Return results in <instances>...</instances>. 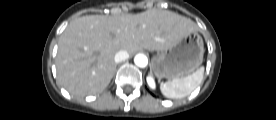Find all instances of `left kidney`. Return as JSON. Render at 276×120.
Wrapping results in <instances>:
<instances>
[{"label":"left kidney","mask_w":276,"mask_h":120,"mask_svg":"<svg viewBox=\"0 0 276 120\" xmlns=\"http://www.w3.org/2000/svg\"><path fill=\"white\" fill-rule=\"evenodd\" d=\"M147 83L152 89L156 88V83H155V80L152 76L147 77Z\"/></svg>","instance_id":"obj_1"}]
</instances>
